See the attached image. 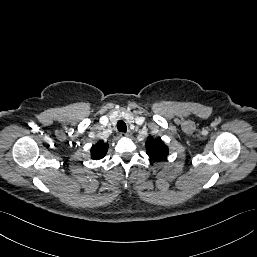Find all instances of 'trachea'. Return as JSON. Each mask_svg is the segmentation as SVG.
<instances>
[{
    "mask_svg": "<svg viewBox=\"0 0 257 257\" xmlns=\"http://www.w3.org/2000/svg\"><path fill=\"white\" fill-rule=\"evenodd\" d=\"M117 129L118 131L125 133L127 131L126 123L123 120L118 121Z\"/></svg>",
    "mask_w": 257,
    "mask_h": 257,
    "instance_id": "1",
    "label": "trachea"
}]
</instances>
